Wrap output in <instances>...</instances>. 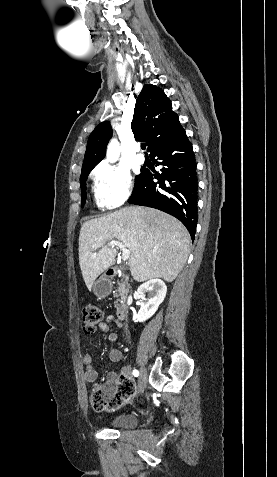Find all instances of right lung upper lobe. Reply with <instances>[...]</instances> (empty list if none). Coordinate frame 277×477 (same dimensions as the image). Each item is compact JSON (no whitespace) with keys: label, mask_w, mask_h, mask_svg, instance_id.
Masks as SVG:
<instances>
[{"label":"right lung upper lobe","mask_w":277,"mask_h":477,"mask_svg":"<svg viewBox=\"0 0 277 477\" xmlns=\"http://www.w3.org/2000/svg\"><path fill=\"white\" fill-rule=\"evenodd\" d=\"M182 126L172 110L171 101L154 85H144L136 100L131 129L136 139L144 140L151 150L175 135ZM112 136L110 122L100 123L87 143L82 170L94 168L105 156Z\"/></svg>","instance_id":"right-lung-upper-lobe-1"}]
</instances>
